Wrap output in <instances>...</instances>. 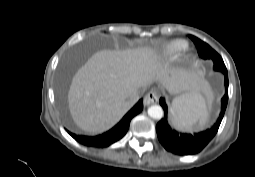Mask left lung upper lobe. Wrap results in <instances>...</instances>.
<instances>
[{"label": "left lung upper lobe", "instance_id": "5c2ea615", "mask_svg": "<svg viewBox=\"0 0 255 177\" xmlns=\"http://www.w3.org/2000/svg\"><path fill=\"white\" fill-rule=\"evenodd\" d=\"M189 37L195 43L200 57L203 59H212L214 62V70L221 71L225 76H227V69L221 56L207 43L201 41L197 37H194L192 35H189Z\"/></svg>", "mask_w": 255, "mask_h": 177}]
</instances>
